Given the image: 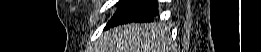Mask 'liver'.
<instances>
[{
  "label": "liver",
  "instance_id": "6515ba94",
  "mask_svg": "<svg viewBox=\"0 0 261 52\" xmlns=\"http://www.w3.org/2000/svg\"><path fill=\"white\" fill-rule=\"evenodd\" d=\"M169 31L161 22L124 24L104 33L98 52H167Z\"/></svg>",
  "mask_w": 261,
  "mask_h": 52
}]
</instances>
